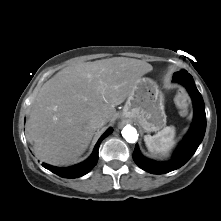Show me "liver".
<instances>
[{
    "label": "liver",
    "instance_id": "1",
    "mask_svg": "<svg viewBox=\"0 0 221 221\" xmlns=\"http://www.w3.org/2000/svg\"><path fill=\"white\" fill-rule=\"evenodd\" d=\"M153 70L141 60L113 57L66 67L49 79L35 97L27 137L35 155L52 165H69L81 156L100 116L109 122L141 77Z\"/></svg>",
    "mask_w": 221,
    "mask_h": 221
}]
</instances>
